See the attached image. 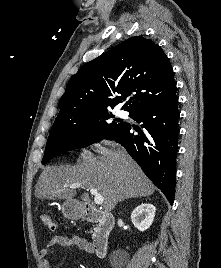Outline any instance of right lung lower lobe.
<instances>
[{
    "label": "right lung lower lobe",
    "mask_w": 221,
    "mask_h": 268,
    "mask_svg": "<svg viewBox=\"0 0 221 268\" xmlns=\"http://www.w3.org/2000/svg\"><path fill=\"white\" fill-rule=\"evenodd\" d=\"M178 98L172 97L141 107L130 117L141 128L124 123L106 139L124 146L150 180L174 202L178 151Z\"/></svg>",
    "instance_id": "right-lung-lower-lobe-1"
}]
</instances>
